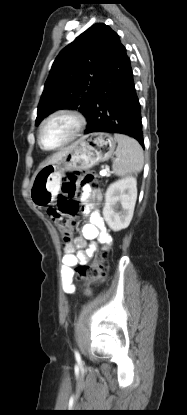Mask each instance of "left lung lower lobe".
Instances as JSON below:
<instances>
[{
	"instance_id": "left-lung-lower-lobe-1",
	"label": "left lung lower lobe",
	"mask_w": 187,
	"mask_h": 415,
	"mask_svg": "<svg viewBox=\"0 0 187 415\" xmlns=\"http://www.w3.org/2000/svg\"><path fill=\"white\" fill-rule=\"evenodd\" d=\"M85 134L108 132L135 138L144 148L140 103L130 58L119 37L96 85Z\"/></svg>"
}]
</instances>
